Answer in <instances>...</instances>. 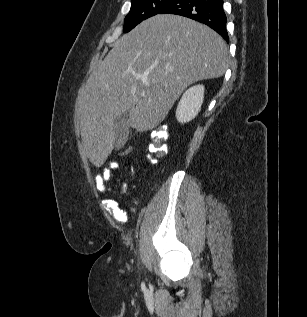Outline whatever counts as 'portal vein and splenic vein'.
<instances>
[{
	"mask_svg": "<svg viewBox=\"0 0 307 317\" xmlns=\"http://www.w3.org/2000/svg\"><path fill=\"white\" fill-rule=\"evenodd\" d=\"M144 85L147 87L149 86V82L148 81H143Z\"/></svg>",
	"mask_w": 307,
	"mask_h": 317,
	"instance_id": "18ae733b",
	"label": "portal vein and splenic vein"
}]
</instances>
